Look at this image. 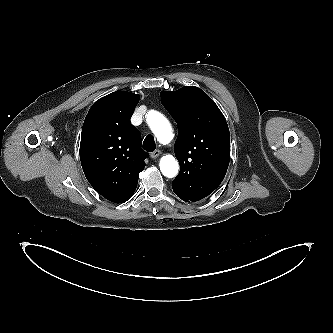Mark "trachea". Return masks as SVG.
Wrapping results in <instances>:
<instances>
[{
	"mask_svg": "<svg viewBox=\"0 0 333 333\" xmlns=\"http://www.w3.org/2000/svg\"><path fill=\"white\" fill-rule=\"evenodd\" d=\"M155 142L152 135H148L143 142V149L148 152H153L155 150Z\"/></svg>",
	"mask_w": 333,
	"mask_h": 333,
	"instance_id": "trachea-1",
	"label": "trachea"
}]
</instances>
